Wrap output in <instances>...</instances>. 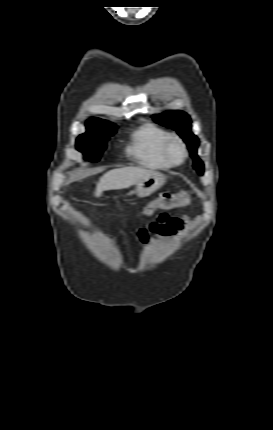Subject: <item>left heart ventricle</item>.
Here are the masks:
<instances>
[{"instance_id": "left-heart-ventricle-1", "label": "left heart ventricle", "mask_w": 273, "mask_h": 430, "mask_svg": "<svg viewBox=\"0 0 273 430\" xmlns=\"http://www.w3.org/2000/svg\"><path fill=\"white\" fill-rule=\"evenodd\" d=\"M171 155L175 159H178L181 156V149L177 144H173L171 146Z\"/></svg>"}]
</instances>
